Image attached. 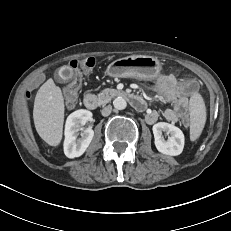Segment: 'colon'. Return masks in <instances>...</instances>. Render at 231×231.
I'll return each instance as SVG.
<instances>
[{"label":"colon","mask_w":231,"mask_h":231,"mask_svg":"<svg viewBox=\"0 0 231 231\" xmlns=\"http://www.w3.org/2000/svg\"><path fill=\"white\" fill-rule=\"evenodd\" d=\"M95 65V60L94 58H84L80 60H73L70 63V66L74 69H78L81 71V74L87 73L93 69ZM46 75L47 72H44L43 75H39L36 78V81L32 82L30 85V89L25 90L24 95L27 98L32 97L33 91H36L39 89L40 85L44 84L46 81ZM82 78V75L78 76V79L75 78L74 80L70 81L63 89V94L65 98V102L67 106H72L77 98L79 89H80V80ZM197 89V85L195 81L193 80H188L185 83L182 84V90L185 94H193ZM183 124L188 125L189 124V119L184 118L183 119Z\"/></svg>","instance_id":"colon-1"}]
</instances>
